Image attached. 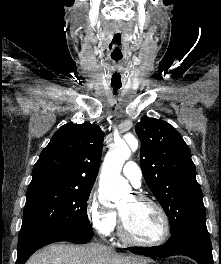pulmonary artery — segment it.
Instances as JSON below:
<instances>
[{
	"label": "pulmonary artery",
	"mask_w": 221,
	"mask_h": 264,
	"mask_svg": "<svg viewBox=\"0 0 221 264\" xmlns=\"http://www.w3.org/2000/svg\"><path fill=\"white\" fill-rule=\"evenodd\" d=\"M125 178H127L135 187L141 185L142 171L141 168L133 161L127 162L122 170Z\"/></svg>",
	"instance_id": "e3ab8cb5"
}]
</instances>
